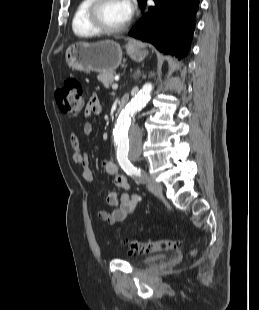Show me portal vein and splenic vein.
<instances>
[{
	"mask_svg": "<svg viewBox=\"0 0 259 310\" xmlns=\"http://www.w3.org/2000/svg\"><path fill=\"white\" fill-rule=\"evenodd\" d=\"M118 88V84H113L112 85V89H117Z\"/></svg>",
	"mask_w": 259,
	"mask_h": 310,
	"instance_id": "portal-vein-and-splenic-vein-1",
	"label": "portal vein and splenic vein"
}]
</instances>
